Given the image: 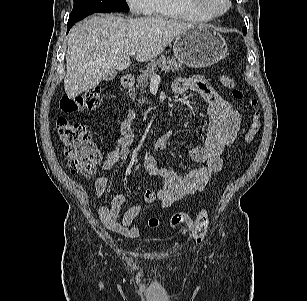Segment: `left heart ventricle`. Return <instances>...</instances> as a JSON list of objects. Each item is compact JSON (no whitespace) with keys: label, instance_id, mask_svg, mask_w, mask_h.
<instances>
[{"label":"left heart ventricle","instance_id":"1","mask_svg":"<svg viewBox=\"0 0 307 301\" xmlns=\"http://www.w3.org/2000/svg\"><path fill=\"white\" fill-rule=\"evenodd\" d=\"M210 5L215 8L221 9L225 6L224 0H206Z\"/></svg>","mask_w":307,"mask_h":301}]
</instances>
